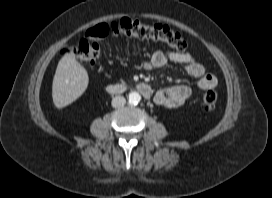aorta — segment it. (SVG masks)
<instances>
[{
    "instance_id": "aorta-1",
    "label": "aorta",
    "mask_w": 272,
    "mask_h": 198,
    "mask_svg": "<svg viewBox=\"0 0 272 198\" xmlns=\"http://www.w3.org/2000/svg\"><path fill=\"white\" fill-rule=\"evenodd\" d=\"M141 100V96L138 92L133 91L128 95V101L130 104H138Z\"/></svg>"
}]
</instances>
